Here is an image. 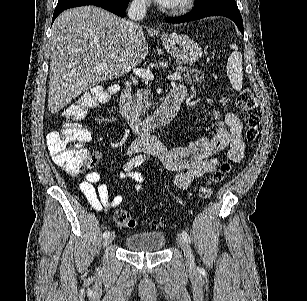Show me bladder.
<instances>
[{"label": "bladder", "mask_w": 307, "mask_h": 301, "mask_svg": "<svg viewBox=\"0 0 307 301\" xmlns=\"http://www.w3.org/2000/svg\"><path fill=\"white\" fill-rule=\"evenodd\" d=\"M125 248L131 251H161L166 245V235L162 232L132 233L125 239Z\"/></svg>", "instance_id": "1"}]
</instances>
